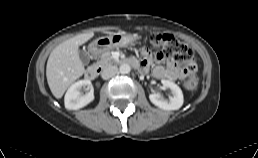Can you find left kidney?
Returning <instances> with one entry per match:
<instances>
[{"instance_id":"obj_1","label":"left kidney","mask_w":258,"mask_h":158,"mask_svg":"<svg viewBox=\"0 0 258 158\" xmlns=\"http://www.w3.org/2000/svg\"><path fill=\"white\" fill-rule=\"evenodd\" d=\"M163 86L172 91L173 96L169 100L164 99L159 93H152L149 95L150 101L157 107L163 110H178L183 105V93L180 87L170 80L163 79Z\"/></svg>"}]
</instances>
